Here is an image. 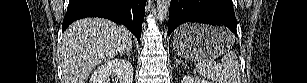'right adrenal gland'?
I'll return each mask as SVG.
<instances>
[{
	"mask_svg": "<svg viewBox=\"0 0 307 83\" xmlns=\"http://www.w3.org/2000/svg\"><path fill=\"white\" fill-rule=\"evenodd\" d=\"M130 51H131V48L127 49L125 52H122L120 56H123L124 54H126L127 56H130Z\"/></svg>",
	"mask_w": 307,
	"mask_h": 83,
	"instance_id": "right-adrenal-gland-1",
	"label": "right adrenal gland"
}]
</instances>
